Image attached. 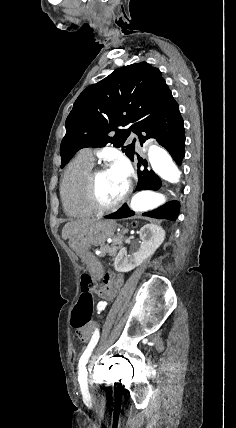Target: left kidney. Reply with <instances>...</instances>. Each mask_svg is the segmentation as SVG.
Segmentation results:
<instances>
[{
  "label": "left kidney",
  "instance_id": "obj_1",
  "mask_svg": "<svg viewBox=\"0 0 236 428\" xmlns=\"http://www.w3.org/2000/svg\"><path fill=\"white\" fill-rule=\"evenodd\" d=\"M139 234L140 240L143 242L139 252L127 254V248H121L114 262L116 272H131L136 266H140L163 244L165 238V230L161 226H155V224H146L141 228Z\"/></svg>",
  "mask_w": 236,
  "mask_h": 428
}]
</instances>
